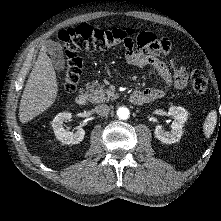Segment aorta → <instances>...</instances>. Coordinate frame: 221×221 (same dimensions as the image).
Listing matches in <instances>:
<instances>
[{
	"mask_svg": "<svg viewBox=\"0 0 221 221\" xmlns=\"http://www.w3.org/2000/svg\"><path fill=\"white\" fill-rule=\"evenodd\" d=\"M117 116L120 118V119H128V117L130 116V112H129V109L126 108V107H120L118 110H117Z\"/></svg>",
	"mask_w": 221,
	"mask_h": 221,
	"instance_id": "1",
	"label": "aorta"
}]
</instances>
